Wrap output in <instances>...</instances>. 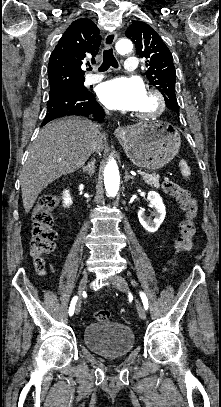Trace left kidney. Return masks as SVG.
<instances>
[{
    "label": "left kidney",
    "instance_id": "1",
    "mask_svg": "<svg viewBox=\"0 0 221 407\" xmlns=\"http://www.w3.org/2000/svg\"><path fill=\"white\" fill-rule=\"evenodd\" d=\"M147 198L150 201V205L154 208L153 215L155 216V218L154 220H151L150 218L146 217L144 210H139L138 219L140 224L148 232L153 233L158 230V228L164 221L166 215V208L161 196L157 192L150 191L148 193Z\"/></svg>",
    "mask_w": 221,
    "mask_h": 407
}]
</instances>
